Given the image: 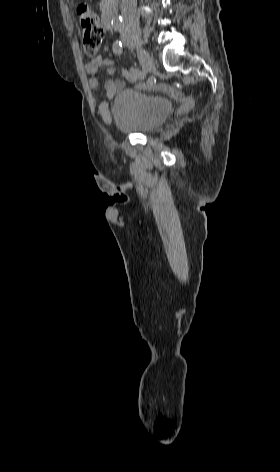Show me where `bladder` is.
<instances>
[{
    "mask_svg": "<svg viewBox=\"0 0 280 472\" xmlns=\"http://www.w3.org/2000/svg\"><path fill=\"white\" fill-rule=\"evenodd\" d=\"M172 110V101L164 96L127 88L116 96L111 113L120 131L142 133L161 126Z\"/></svg>",
    "mask_w": 280,
    "mask_h": 472,
    "instance_id": "bladder-1",
    "label": "bladder"
}]
</instances>
